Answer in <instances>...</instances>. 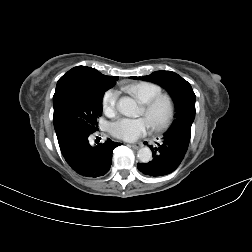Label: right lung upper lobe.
<instances>
[{"label":"right lung upper lobe","mask_w":252,"mask_h":252,"mask_svg":"<svg viewBox=\"0 0 252 252\" xmlns=\"http://www.w3.org/2000/svg\"><path fill=\"white\" fill-rule=\"evenodd\" d=\"M117 79L118 77L103 75L99 71L91 67L77 66L69 70L58 80L56 89L64 84L77 82L103 83L110 86L111 88L116 83Z\"/></svg>","instance_id":"obj_1"}]
</instances>
